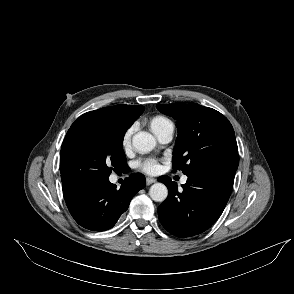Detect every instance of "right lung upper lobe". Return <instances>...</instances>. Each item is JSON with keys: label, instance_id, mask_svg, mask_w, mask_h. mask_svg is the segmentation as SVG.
I'll return each mask as SVG.
<instances>
[{"label": "right lung upper lobe", "instance_id": "right-lung-upper-lobe-1", "mask_svg": "<svg viewBox=\"0 0 294 294\" xmlns=\"http://www.w3.org/2000/svg\"><path fill=\"white\" fill-rule=\"evenodd\" d=\"M143 111V106L115 105L104 107L83 114L76 119L73 124L83 122H102L128 129Z\"/></svg>", "mask_w": 294, "mask_h": 294}]
</instances>
